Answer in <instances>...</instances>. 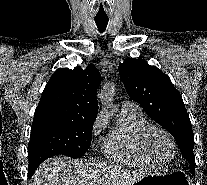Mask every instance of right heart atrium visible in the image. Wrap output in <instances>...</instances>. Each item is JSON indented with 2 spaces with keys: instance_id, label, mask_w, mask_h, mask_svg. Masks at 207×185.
Wrapping results in <instances>:
<instances>
[{
  "instance_id": "d8ad5b80",
  "label": "right heart atrium",
  "mask_w": 207,
  "mask_h": 185,
  "mask_svg": "<svg viewBox=\"0 0 207 185\" xmlns=\"http://www.w3.org/2000/svg\"><path fill=\"white\" fill-rule=\"evenodd\" d=\"M109 121V114L105 111L100 112L93 123V133L98 134L103 127L107 125Z\"/></svg>"
}]
</instances>
